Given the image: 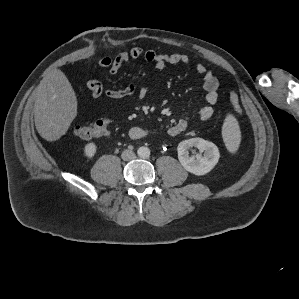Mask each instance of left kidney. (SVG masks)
Wrapping results in <instances>:
<instances>
[{
    "label": "left kidney",
    "instance_id": "obj_1",
    "mask_svg": "<svg viewBox=\"0 0 299 299\" xmlns=\"http://www.w3.org/2000/svg\"><path fill=\"white\" fill-rule=\"evenodd\" d=\"M192 147H196L200 154L190 156L188 150ZM177 151L178 159L185 170L198 176L210 172L220 157L217 146L202 138H191L180 142Z\"/></svg>",
    "mask_w": 299,
    "mask_h": 299
}]
</instances>
